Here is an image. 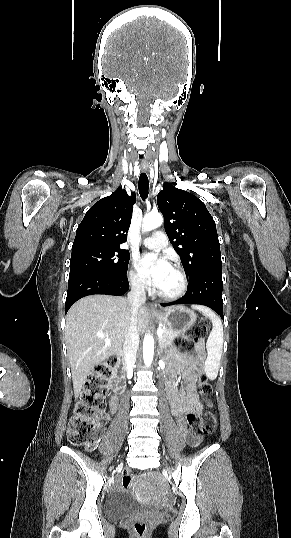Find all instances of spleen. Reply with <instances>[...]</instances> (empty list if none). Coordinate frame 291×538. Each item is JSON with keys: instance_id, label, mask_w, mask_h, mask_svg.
<instances>
[{"instance_id": "obj_1", "label": "spleen", "mask_w": 291, "mask_h": 538, "mask_svg": "<svg viewBox=\"0 0 291 538\" xmlns=\"http://www.w3.org/2000/svg\"><path fill=\"white\" fill-rule=\"evenodd\" d=\"M192 308L202 312L205 316L210 318L213 325L212 331L206 342L207 359L205 361V372L209 379L214 380L218 375L222 356L223 326L220 319L209 308L197 305L192 306Z\"/></svg>"}]
</instances>
